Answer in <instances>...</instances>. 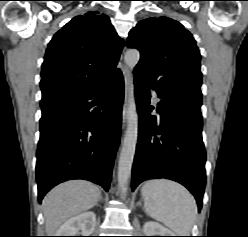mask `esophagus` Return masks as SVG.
Returning <instances> with one entry per match:
<instances>
[{
  "label": "esophagus",
  "mask_w": 248,
  "mask_h": 237,
  "mask_svg": "<svg viewBox=\"0 0 248 237\" xmlns=\"http://www.w3.org/2000/svg\"><path fill=\"white\" fill-rule=\"evenodd\" d=\"M123 75L125 81V101L122 110V123H123V127H125L128 119V97H129L132 81L130 77V72L126 67L123 68Z\"/></svg>",
  "instance_id": "obj_1"
}]
</instances>
